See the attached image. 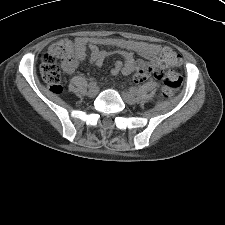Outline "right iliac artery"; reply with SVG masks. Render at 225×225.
<instances>
[{
    "label": "right iliac artery",
    "instance_id": "82829eb1",
    "mask_svg": "<svg viewBox=\"0 0 225 225\" xmlns=\"http://www.w3.org/2000/svg\"><path fill=\"white\" fill-rule=\"evenodd\" d=\"M96 85V82L94 80H91V82L89 83V87Z\"/></svg>",
    "mask_w": 225,
    "mask_h": 225
}]
</instances>
